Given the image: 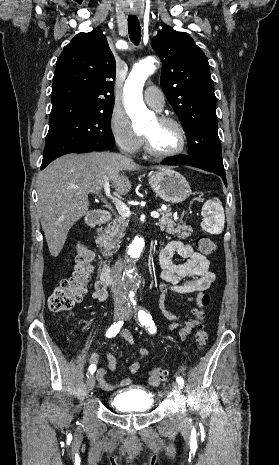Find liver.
<instances>
[{
	"label": "liver",
	"instance_id": "1",
	"mask_svg": "<svg viewBox=\"0 0 279 465\" xmlns=\"http://www.w3.org/2000/svg\"><path fill=\"white\" fill-rule=\"evenodd\" d=\"M136 169L141 166L120 154L91 152L64 155L39 173L37 211L53 257L61 252L70 228L89 214L88 194L111 182L119 195H126L131 183L123 171Z\"/></svg>",
	"mask_w": 279,
	"mask_h": 465
}]
</instances>
